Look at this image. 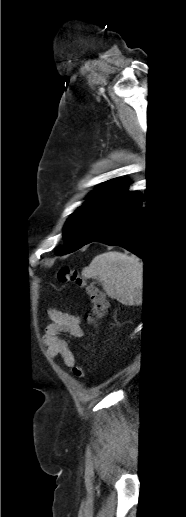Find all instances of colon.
Returning <instances> with one entry per match:
<instances>
[{
  "mask_svg": "<svg viewBox=\"0 0 186 517\" xmlns=\"http://www.w3.org/2000/svg\"><path fill=\"white\" fill-rule=\"evenodd\" d=\"M58 281L62 284H75L83 288L88 295L92 309L85 316L86 322L94 326L104 316L108 308V301L105 294L94 284L87 282L81 275L79 269L71 266H63L57 274ZM85 364L73 366L72 372L76 378H82L85 374Z\"/></svg>",
  "mask_w": 186,
  "mask_h": 517,
  "instance_id": "1",
  "label": "colon"
}]
</instances>
